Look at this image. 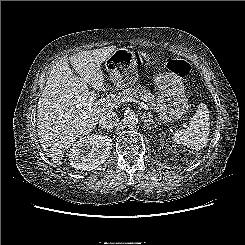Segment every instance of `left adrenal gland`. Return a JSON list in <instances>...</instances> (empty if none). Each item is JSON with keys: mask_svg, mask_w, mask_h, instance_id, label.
Wrapping results in <instances>:
<instances>
[{"mask_svg": "<svg viewBox=\"0 0 245 245\" xmlns=\"http://www.w3.org/2000/svg\"><path fill=\"white\" fill-rule=\"evenodd\" d=\"M143 119L146 125L152 123L155 127L157 126V124L153 121V119L148 118L145 114L143 115Z\"/></svg>", "mask_w": 245, "mask_h": 245, "instance_id": "obj_1", "label": "left adrenal gland"}]
</instances>
